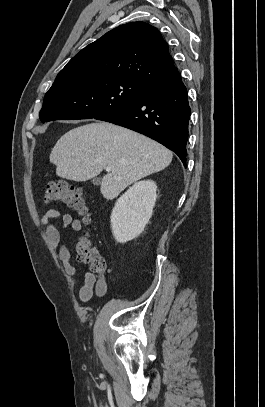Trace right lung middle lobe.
Instances as JSON below:
<instances>
[{
  "instance_id": "dd1d6c3e",
  "label": "right lung middle lobe",
  "mask_w": 265,
  "mask_h": 407,
  "mask_svg": "<svg viewBox=\"0 0 265 407\" xmlns=\"http://www.w3.org/2000/svg\"><path fill=\"white\" fill-rule=\"evenodd\" d=\"M149 86L136 81L92 75L54 82L39 117L53 120L97 118L136 103Z\"/></svg>"
}]
</instances>
